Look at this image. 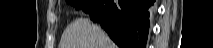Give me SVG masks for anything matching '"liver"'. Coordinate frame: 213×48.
Segmentation results:
<instances>
[{
    "mask_svg": "<svg viewBox=\"0 0 213 48\" xmlns=\"http://www.w3.org/2000/svg\"><path fill=\"white\" fill-rule=\"evenodd\" d=\"M58 48H117L109 36L88 19L78 18L62 34Z\"/></svg>",
    "mask_w": 213,
    "mask_h": 48,
    "instance_id": "6515ba94",
    "label": "liver"
}]
</instances>
